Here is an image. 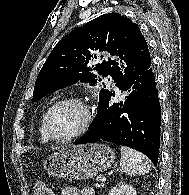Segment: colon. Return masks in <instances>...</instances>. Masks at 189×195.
Wrapping results in <instances>:
<instances>
[{
    "label": "colon",
    "mask_w": 189,
    "mask_h": 195,
    "mask_svg": "<svg viewBox=\"0 0 189 195\" xmlns=\"http://www.w3.org/2000/svg\"><path fill=\"white\" fill-rule=\"evenodd\" d=\"M32 195H53V192L44 182L38 181L32 188Z\"/></svg>",
    "instance_id": "5ec220e1"
}]
</instances>
